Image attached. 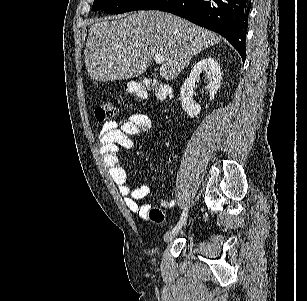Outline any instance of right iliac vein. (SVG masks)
Returning <instances> with one entry per match:
<instances>
[{"mask_svg": "<svg viewBox=\"0 0 307 301\" xmlns=\"http://www.w3.org/2000/svg\"><path fill=\"white\" fill-rule=\"evenodd\" d=\"M178 231L171 230L167 232L164 236V242L169 243L173 241L177 235Z\"/></svg>", "mask_w": 307, "mask_h": 301, "instance_id": "1", "label": "right iliac vein"}]
</instances>
